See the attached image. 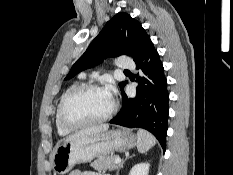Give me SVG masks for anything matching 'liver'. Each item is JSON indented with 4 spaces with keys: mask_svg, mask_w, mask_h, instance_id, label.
<instances>
[{
    "mask_svg": "<svg viewBox=\"0 0 233 175\" xmlns=\"http://www.w3.org/2000/svg\"><path fill=\"white\" fill-rule=\"evenodd\" d=\"M108 128H109L108 124H102V125L86 128V129L80 130V131L68 136L66 139H64V142H69L71 140H74V139H77V138L83 137V136L97 134V133L106 131Z\"/></svg>",
    "mask_w": 233,
    "mask_h": 175,
    "instance_id": "1",
    "label": "liver"
}]
</instances>
